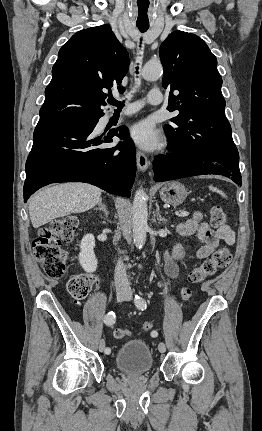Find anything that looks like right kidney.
I'll use <instances>...</instances> for the list:
<instances>
[{
	"label": "right kidney",
	"mask_w": 262,
	"mask_h": 431,
	"mask_svg": "<svg viewBox=\"0 0 262 431\" xmlns=\"http://www.w3.org/2000/svg\"><path fill=\"white\" fill-rule=\"evenodd\" d=\"M95 239L92 234H87L83 237L80 244L79 262L82 268L89 273L96 270L98 261L94 254Z\"/></svg>",
	"instance_id": "right-kidney-1"
}]
</instances>
